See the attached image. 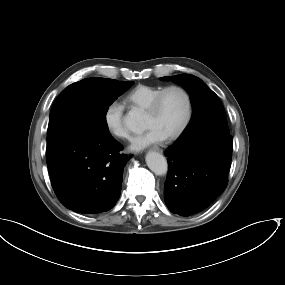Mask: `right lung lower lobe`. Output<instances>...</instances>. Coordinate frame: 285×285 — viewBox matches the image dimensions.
Instances as JSON below:
<instances>
[{"mask_svg":"<svg viewBox=\"0 0 285 285\" xmlns=\"http://www.w3.org/2000/svg\"><path fill=\"white\" fill-rule=\"evenodd\" d=\"M109 132L80 127L48 146L46 161L53 190L68 209L98 214L114 207L129 159Z\"/></svg>","mask_w":285,"mask_h":285,"instance_id":"obj_1","label":"right lung lower lobe"}]
</instances>
